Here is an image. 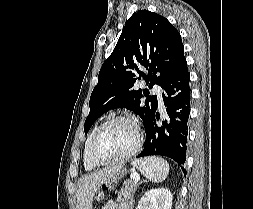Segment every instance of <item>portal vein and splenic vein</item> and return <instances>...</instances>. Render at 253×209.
Wrapping results in <instances>:
<instances>
[{
    "label": "portal vein and splenic vein",
    "mask_w": 253,
    "mask_h": 209,
    "mask_svg": "<svg viewBox=\"0 0 253 209\" xmlns=\"http://www.w3.org/2000/svg\"><path fill=\"white\" fill-rule=\"evenodd\" d=\"M131 179L135 182H138L140 180V176L136 173L131 174Z\"/></svg>",
    "instance_id": "18ae733b"
}]
</instances>
